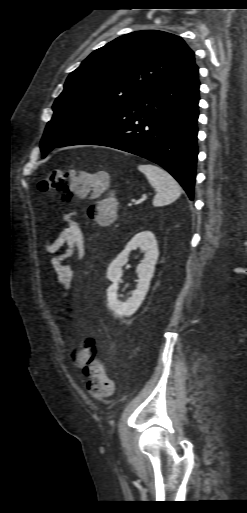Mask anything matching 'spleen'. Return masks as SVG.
<instances>
[{"label": "spleen", "instance_id": "3e777b00", "mask_svg": "<svg viewBox=\"0 0 247 513\" xmlns=\"http://www.w3.org/2000/svg\"><path fill=\"white\" fill-rule=\"evenodd\" d=\"M138 170L145 174L150 185L157 190L153 199L155 207L174 202L181 195L177 181L162 168L152 164H139Z\"/></svg>", "mask_w": 247, "mask_h": 513}]
</instances>
